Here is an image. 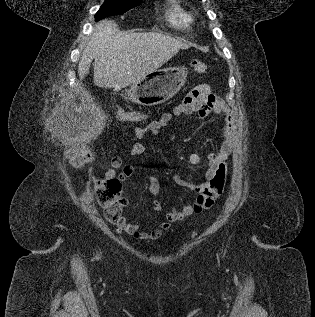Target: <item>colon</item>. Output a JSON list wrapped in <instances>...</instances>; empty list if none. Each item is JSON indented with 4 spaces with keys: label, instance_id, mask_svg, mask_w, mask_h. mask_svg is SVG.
I'll return each instance as SVG.
<instances>
[{
    "label": "colon",
    "instance_id": "5ec220e1",
    "mask_svg": "<svg viewBox=\"0 0 315 317\" xmlns=\"http://www.w3.org/2000/svg\"><path fill=\"white\" fill-rule=\"evenodd\" d=\"M195 73H204L208 70V65L201 60H194L191 63ZM143 114L128 113L120 118L121 121L134 122L142 118ZM90 149H82L74 153L73 161L76 163H85L92 158ZM122 185L118 179L101 178L96 182V192L98 201L104 208L105 217L120 225L123 218L122 212L126 205V199L121 193Z\"/></svg>",
    "mask_w": 315,
    "mask_h": 317
}]
</instances>
